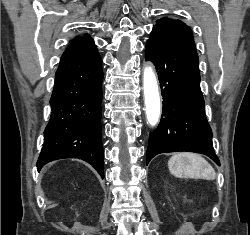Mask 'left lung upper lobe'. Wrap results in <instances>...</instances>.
<instances>
[{"label":"left lung upper lobe","mask_w":250,"mask_h":235,"mask_svg":"<svg viewBox=\"0 0 250 235\" xmlns=\"http://www.w3.org/2000/svg\"><path fill=\"white\" fill-rule=\"evenodd\" d=\"M151 34H158L164 38L176 39L188 37L193 39L192 31L189 26L181 20L171 18H161L156 21Z\"/></svg>","instance_id":"obj_1"}]
</instances>
